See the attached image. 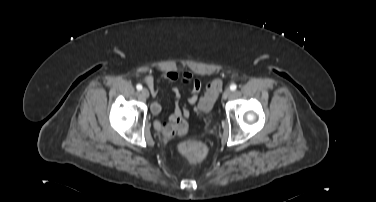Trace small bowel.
<instances>
[{
  "mask_svg": "<svg viewBox=\"0 0 376 202\" xmlns=\"http://www.w3.org/2000/svg\"><path fill=\"white\" fill-rule=\"evenodd\" d=\"M160 79L166 80L169 82H176L180 79L182 83L190 85L191 87L190 96L187 100V105L184 107H181L179 103L180 98H181L179 89L177 87L173 88V93L177 99V103H176L173 113L169 117V121L171 123H184L185 124V119L190 116V110L188 106H192L198 101L199 92L201 91V88H202L201 81L198 79H194L192 74L189 72H186L181 77H179L177 72H175L174 70H165L160 75ZM144 82L148 86L152 96L157 97L159 94V88L156 84L155 79L152 76L148 75L144 78ZM151 110L155 116L159 117L161 113V104L158 99L153 101L151 105ZM155 128L156 129L161 128V122L159 120L155 122Z\"/></svg>",
  "mask_w": 376,
  "mask_h": 202,
  "instance_id": "c3829d8e",
  "label": "small bowel"
}]
</instances>
